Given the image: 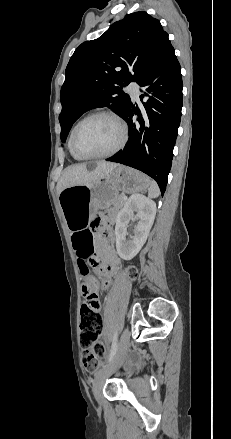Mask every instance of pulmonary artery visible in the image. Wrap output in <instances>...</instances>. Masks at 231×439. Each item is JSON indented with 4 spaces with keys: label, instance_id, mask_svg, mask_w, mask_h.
Returning a JSON list of instances; mask_svg holds the SVG:
<instances>
[{
    "label": "pulmonary artery",
    "instance_id": "obj_1",
    "mask_svg": "<svg viewBox=\"0 0 231 439\" xmlns=\"http://www.w3.org/2000/svg\"><path fill=\"white\" fill-rule=\"evenodd\" d=\"M138 89H139V86L136 82L129 83L128 90L134 99L138 98V95H139Z\"/></svg>",
    "mask_w": 231,
    "mask_h": 439
}]
</instances>
